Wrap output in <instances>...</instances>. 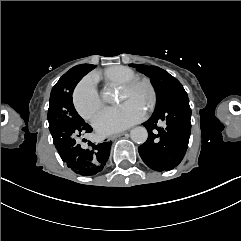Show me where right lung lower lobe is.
<instances>
[{"mask_svg":"<svg viewBox=\"0 0 241 241\" xmlns=\"http://www.w3.org/2000/svg\"><path fill=\"white\" fill-rule=\"evenodd\" d=\"M93 65L82 64L73 81L75 87L77 83L91 71ZM92 127L83 123L74 133L64 132L58 137L55 143L56 149L66 165L77 174L83 176L95 175L101 172L108 161L111 142H103L97 145L92 144L90 149H83L75 140V136H80L82 133H90Z\"/></svg>","mask_w":241,"mask_h":241,"instance_id":"98d812e1","label":"right lung lower lobe"}]
</instances>
